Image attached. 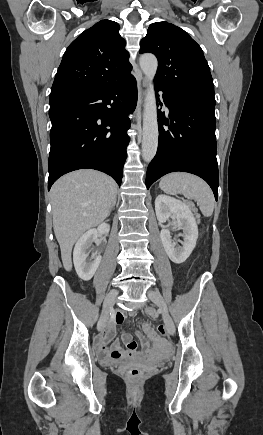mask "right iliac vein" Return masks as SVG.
<instances>
[{
    "label": "right iliac vein",
    "mask_w": 263,
    "mask_h": 435,
    "mask_svg": "<svg viewBox=\"0 0 263 435\" xmlns=\"http://www.w3.org/2000/svg\"><path fill=\"white\" fill-rule=\"evenodd\" d=\"M118 296V291L113 290L111 291L105 298L104 304H103V313L99 319L97 328L99 331H102L106 325L108 313L112 306L114 305L116 298Z\"/></svg>",
    "instance_id": "63e3f726"
}]
</instances>
